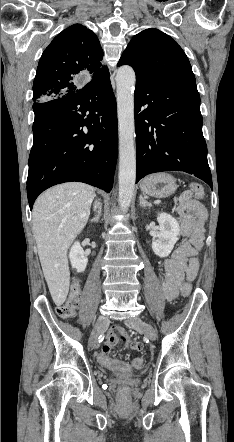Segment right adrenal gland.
I'll return each mask as SVG.
<instances>
[{
  "label": "right adrenal gland",
  "mask_w": 234,
  "mask_h": 442,
  "mask_svg": "<svg viewBox=\"0 0 234 442\" xmlns=\"http://www.w3.org/2000/svg\"><path fill=\"white\" fill-rule=\"evenodd\" d=\"M100 217H101V204H99L97 215L94 218H92L90 221L98 223L100 220Z\"/></svg>",
  "instance_id": "obj_1"
}]
</instances>
